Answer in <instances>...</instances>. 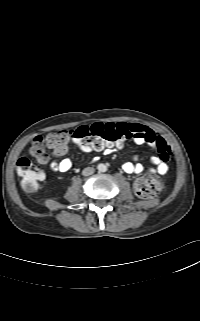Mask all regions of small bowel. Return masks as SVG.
Segmentation results:
<instances>
[{
    "label": "small bowel",
    "mask_w": 200,
    "mask_h": 321,
    "mask_svg": "<svg viewBox=\"0 0 200 321\" xmlns=\"http://www.w3.org/2000/svg\"><path fill=\"white\" fill-rule=\"evenodd\" d=\"M104 126H112L115 129L118 127H123L130 133V139L137 145L147 144L157 151L156 155L150 157V163L152 167L149 169L150 173H157L164 175L168 171V160L170 157V149L165 141V139L152 130L151 128L139 124V123H108ZM106 148L116 147L113 144H108ZM104 147V148H105ZM102 148V149H104ZM100 149V150H102ZM67 151V146L63 148L62 151L54 153L57 159L49 160V158L43 162V164L49 163V167L52 171L66 173L72 168V162L68 158L58 159L63 156ZM122 169L127 174H139L144 171L143 164L139 161L137 156L133 157L132 161L125 162L122 165Z\"/></svg>",
    "instance_id": "c3829d8e"
}]
</instances>
